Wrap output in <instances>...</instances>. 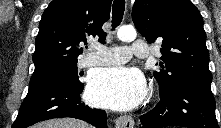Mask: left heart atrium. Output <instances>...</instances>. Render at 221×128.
I'll use <instances>...</instances> for the list:
<instances>
[{"label": "left heart atrium", "mask_w": 221, "mask_h": 128, "mask_svg": "<svg viewBox=\"0 0 221 128\" xmlns=\"http://www.w3.org/2000/svg\"><path fill=\"white\" fill-rule=\"evenodd\" d=\"M142 75L126 67L100 69L93 73L87 87L90 102L114 110H131L145 97Z\"/></svg>", "instance_id": "1"}]
</instances>
